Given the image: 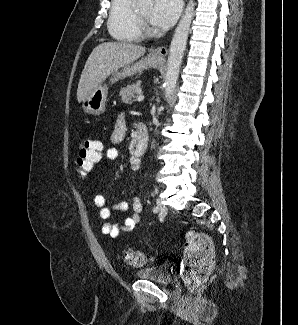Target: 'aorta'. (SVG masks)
Segmentation results:
<instances>
[{"mask_svg":"<svg viewBox=\"0 0 298 325\" xmlns=\"http://www.w3.org/2000/svg\"><path fill=\"white\" fill-rule=\"evenodd\" d=\"M137 6H140V8H151V6H153V0H137ZM194 6L195 0H188L184 14H182L170 42L167 68L163 84L164 98L167 102L169 98H171L172 94H174L177 80L179 78L180 66L182 64L184 50H186Z\"/></svg>","mask_w":298,"mask_h":325,"instance_id":"obj_1","label":"aorta"}]
</instances>
